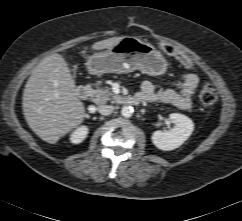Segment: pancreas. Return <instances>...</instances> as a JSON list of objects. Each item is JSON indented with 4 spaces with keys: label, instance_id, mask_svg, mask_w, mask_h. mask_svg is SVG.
Listing matches in <instances>:
<instances>
[{
    "label": "pancreas",
    "instance_id": "pancreas-1",
    "mask_svg": "<svg viewBox=\"0 0 242 221\" xmlns=\"http://www.w3.org/2000/svg\"><path fill=\"white\" fill-rule=\"evenodd\" d=\"M96 89L92 90L91 100L96 104H103L108 101L117 103L120 101V96L114 94L109 87L99 88V83H96Z\"/></svg>",
    "mask_w": 242,
    "mask_h": 221
}]
</instances>
